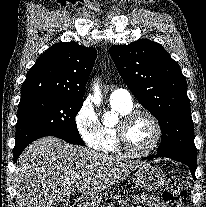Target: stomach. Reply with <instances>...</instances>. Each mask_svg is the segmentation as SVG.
Here are the masks:
<instances>
[{
  "label": "stomach",
  "instance_id": "0dacf381",
  "mask_svg": "<svg viewBox=\"0 0 206 207\" xmlns=\"http://www.w3.org/2000/svg\"><path fill=\"white\" fill-rule=\"evenodd\" d=\"M135 178L137 186L148 192L159 190L166 179L160 168L148 163H142L136 168Z\"/></svg>",
  "mask_w": 206,
  "mask_h": 207
}]
</instances>
